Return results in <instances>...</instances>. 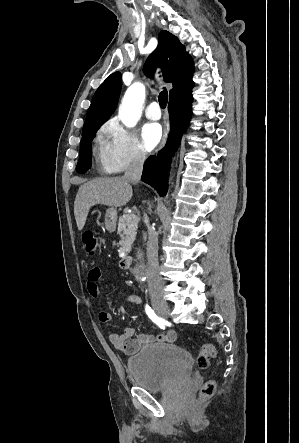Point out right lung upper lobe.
<instances>
[{
  "mask_svg": "<svg viewBox=\"0 0 299 443\" xmlns=\"http://www.w3.org/2000/svg\"><path fill=\"white\" fill-rule=\"evenodd\" d=\"M158 46L152 52L144 65L146 75H153L157 65L163 71L166 82L173 83L170 95L192 82L193 62L185 47L178 38L168 31H161L158 36ZM120 72L111 74L97 89L92 99L83 132L107 121L115 110L122 85Z\"/></svg>",
  "mask_w": 299,
  "mask_h": 443,
  "instance_id": "1",
  "label": "right lung upper lobe"
}]
</instances>
